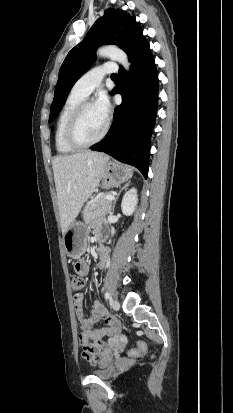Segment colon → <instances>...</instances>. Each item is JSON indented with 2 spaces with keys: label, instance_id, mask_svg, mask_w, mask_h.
<instances>
[{
  "label": "colon",
  "instance_id": "1",
  "mask_svg": "<svg viewBox=\"0 0 233 413\" xmlns=\"http://www.w3.org/2000/svg\"><path fill=\"white\" fill-rule=\"evenodd\" d=\"M84 279L78 274L77 270L71 277V286L74 291H80L84 287ZM146 351V345L144 342H138L137 346L134 349L130 350L131 355L143 354Z\"/></svg>",
  "mask_w": 233,
  "mask_h": 413
}]
</instances>
